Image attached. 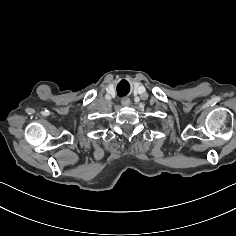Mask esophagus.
<instances>
[{"instance_id":"esophagus-1","label":"esophagus","mask_w":236,"mask_h":236,"mask_svg":"<svg viewBox=\"0 0 236 236\" xmlns=\"http://www.w3.org/2000/svg\"><path fill=\"white\" fill-rule=\"evenodd\" d=\"M130 103H131V101H130V99H128V98H124V99H122V101H121L122 106H129Z\"/></svg>"}]
</instances>
